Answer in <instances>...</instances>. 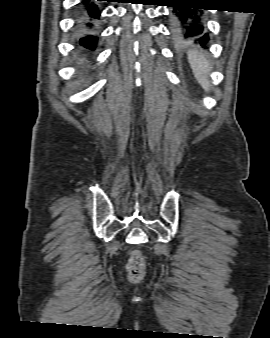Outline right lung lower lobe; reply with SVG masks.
Returning a JSON list of instances; mask_svg holds the SVG:
<instances>
[{
	"mask_svg": "<svg viewBox=\"0 0 270 338\" xmlns=\"http://www.w3.org/2000/svg\"><path fill=\"white\" fill-rule=\"evenodd\" d=\"M109 0H82L78 10L77 30L82 35L80 44L94 50L97 43L95 32L99 26L100 14L98 2Z\"/></svg>",
	"mask_w": 270,
	"mask_h": 338,
	"instance_id": "right-lung-lower-lobe-1",
	"label": "right lung lower lobe"
}]
</instances>
